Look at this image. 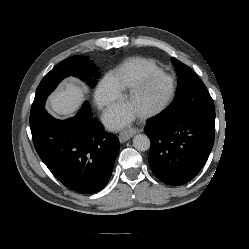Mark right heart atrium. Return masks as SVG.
<instances>
[{
	"label": "right heart atrium",
	"mask_w": 249,
	"mask_h": 249,
	"mask_svg": "<svg viewBox=\"0 0 249 249\" xmlns=\"http://www.w3.org/2000/svg\"><path fill=\"white\" fill-rule=\"evenodd\" d=\"M121 97V92L115 87L110 76H105L99 83L95 100L101 109H108Z\"/></svg>",
	"instance_id": "obj_1"
}]
</instances>
